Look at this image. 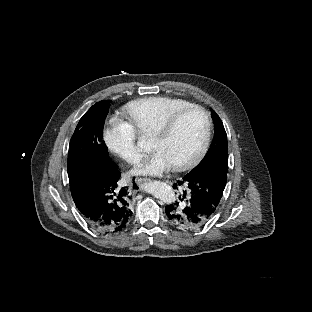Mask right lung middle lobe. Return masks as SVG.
Instances as JSON below:
<instances>
[{
    "instance_id": "right-lung-middle-lobe-1",
    "label": "right lung middle lobe",
    "mask_w": 312,
    "mask_h": 312,
    "mask_svg": "<svg viewBox=\"0 0 312 312\" xmlns=\"http://www.w3.org/2000/svg\"><path fill=\"white\" fill-rule=\"evenodd\" d=\"M110 101L93 105L80 119L71 138L68 152L70 185L97 166H112L108 149L103 141V126Z\"/></svg>"
}]
</instances>
